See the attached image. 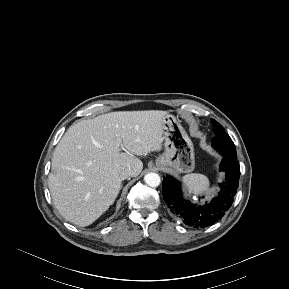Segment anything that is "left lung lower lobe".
<instances>
[{
	"mask_svg": "<svg viewBox=\"0 0 289 289\" xmlns=\"http://www.w3.org/2000/svg\"><path fill=\"white\" fill-rule=\"evenodd\" d=\"M220 152V151H218ZM223 159L220 170L225 173L224 182L219 184L220 190L216 197L205 204L194 205L184 199L181 185L173 177L163 178V197L170 211L183 222L194 228H205L220 220L231 207L237 193L240 167L237 153L220 152Z\"/></svg>",
	"mask_w": 289,
	"mask_h": 289,
	"instance_id": "left-lung-lower-lobe-1",
	"label": "left lung lower lobe"
}]
</instances>
